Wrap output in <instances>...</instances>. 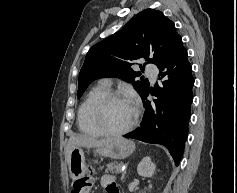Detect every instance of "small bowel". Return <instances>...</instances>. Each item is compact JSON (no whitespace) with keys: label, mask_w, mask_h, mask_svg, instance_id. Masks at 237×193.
<instances>
[{"label":"small bowel","mask_w":237,"mask_h":193,"mask_svg":"<svg viewBox=\"0 0 237 193\" xmlns=\"http://www.w3.org/2000/svg\"><path fill=\"white\" fill-rule=\"evenodd\" d=\"M101 184L107 193H119L113 176L108 174L103 175Z\"/></svg>","instance_id":"1"}]
</instances>
